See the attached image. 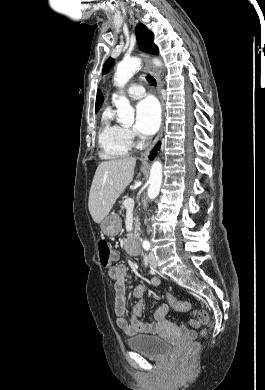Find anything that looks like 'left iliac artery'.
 <instances>
[{
  "label": "left iliac artery",
  "instance_id": "44dca946",
  "mask_svg": "<svg viewBox=\"0 0 265 390\" xmlns=\"http://www.w3.org/2000/svg\"><path fill=\"white\" fill-rule=\"evenodd\" d=\"M144 248H145L146 250H149L150 245H149V244H145V245H144Z\"/></svg>",
  "mask_w": 265,
  "mask_h": 390
}]
</instances>
